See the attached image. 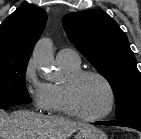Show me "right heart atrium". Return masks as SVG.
Masks as SVG:
<instances>
[{"mask_svg": "<svg viewBox=\"0 0 141 139\" xmlns=\"http://www.w3.org/2000/svg\"><path fill=\"white\" fill-rule=\"evenodd\" d=\"M23 84L28 97L37 111L50 110L47 84L37 75L34 61L27 62L23 71Z\"/></svg>", "mask_w": 141, "mask_h": 139, "instance_id": "right-heart-atrium-1", "label": "right heart atrium"}]
</instances>
